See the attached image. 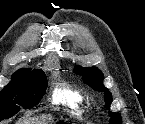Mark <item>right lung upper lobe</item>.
<instances>
[{
	"label": "right lung upper lobe",
	"instance_id": "right-lung-upper-lobe-1",
	"mask_svg": "<svg viewBox=\"0 0 145 124\" xmlns=\"http://www.w3.org/2000/svg\"><path fill=\"white\" fill-rule=\"evenodd\" d=\"M33 71H35V70H33ZM33 71H31V69H21V70L17 71V72L12 76V78H14V77H19V76H23V75L29 74V73H31V72H33Z\"/></svg>",
	"mask_w": 145,
	"mask_h": 124
}]
</instances>
